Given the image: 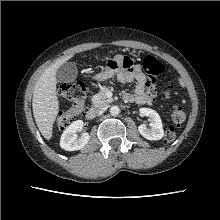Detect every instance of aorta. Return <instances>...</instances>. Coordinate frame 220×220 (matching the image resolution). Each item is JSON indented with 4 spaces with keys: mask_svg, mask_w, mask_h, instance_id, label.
<instances>
[{
    "mask_svg": "<svg viewBox=\"0 0 220 220\" xmlns=\"http://www.w3.org/2000/svg\"><path fill=\"white\" fill-rule=\"evenodd\" d=\"M120 113V108L118 106H112L110 108V114L113 116H117Z\"/></svg>",
    "mask_w": 220,
    "mask_h": 220,
    "instance_id": "aorta-1",
    "label": "aorta"
}]
</instances>
